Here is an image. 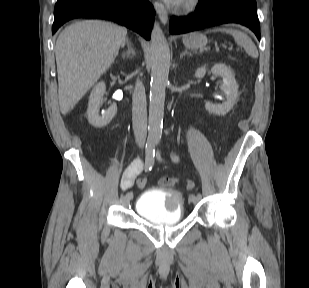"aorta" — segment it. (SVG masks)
Masks as SVG:
<instances>
[{"instance_id": "1", "label": "aorta", "mask_w": 309, "mask_h": 288, "mask_svg": "<svg viewBox=\"0 0 309 288\" xmlns=\"http://www.w3.org/2000/svg\"><path fill=\"white\" fill-rule=\"evenodd\" d=\"M170 68L169 46L158 23L151 33V83L148 134L159 140L162 135L165 90Z\"/></svg>"}]
</instances>
